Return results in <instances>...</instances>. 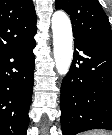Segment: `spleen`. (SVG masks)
<instances>
[{"mask_svg": "<svg viewBox=\"0 0 112 135\" xmlns=\"http://www.w3.org/2000/svg\"><path fill=\"white\" fill-rule=\"evenodd\" d=\"M83 135H111V133L104 130H93V131L84 133Z\"/></svg>", "mask_w": 112, "mask_h": 135, "instance_id": "obj_1", "label": "spleen"}]
</instances>
